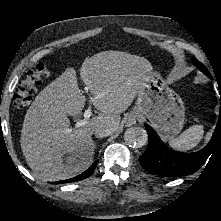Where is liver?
Here are the masks:
<instances>
[{
	"label": "liver",
	"instance_id": "1",
	"mask_svg": "<svg viewBox=\"0 0 221 221\" xmlns=\"http://www.w3.org/2000/svg\"><path fill=\"white\" fill-rule=\"evenodd\" d=\"M79 72L91 94L101 95L93 102L100 111L97 116L80 128H69L68 116L80 114L86 101L76 71L69 68L36 96L23 121V155L34 176L44 181L66 179L91 163L95 129L108 127L112 133L119 129L120 113L133 102L152 65L144 57L111 50L85 60ZM68 153L81 155L76 165L64 164Z\"/></svg>",
	"mask_w": 221,
	"mask_h": 221
}]
</instances>
